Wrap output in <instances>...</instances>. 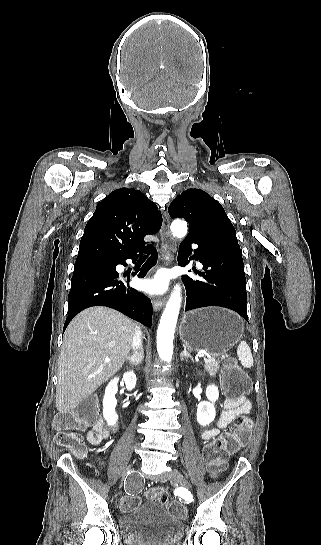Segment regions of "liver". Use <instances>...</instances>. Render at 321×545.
Wrapping results in <instances>:
<instances>
[{
    "mask_svg": "<svg viewBox=\"0 0 321 545\" xmlns=\"http://www.w3.org/2000/svg\"><path fill=\"white\" fill-rule=\"evenodd\" d=\"M135 331L133 321L107 307H90L71 321L58 359L55 397L59 413H71L120 371Z\"/></svg>",
    "mask_w": 321,
    "mask_h": 545,
    "instance_id": "obj_1",
    "label": "liver"
}]
</instances>
